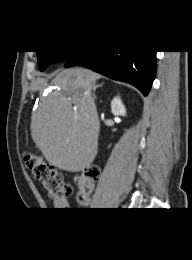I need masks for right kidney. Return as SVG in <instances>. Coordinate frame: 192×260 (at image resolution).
Instances as JSON below:
<instances>
[{"mask_svg":"<svg viewBox=\"0 0 192 260\" xmlns=\"http://www.w3.org/2000/svg\"><path fill=\"white\" fill-rule=\"evenodd\" d=\"M111 111L115 116H125L126 109L119 97H115L111 102Z\"/></svg>","mask_w":192,"mask_h":260,"instance_id":"ca27d5eb","label":"right kidney"}]
</instances>
